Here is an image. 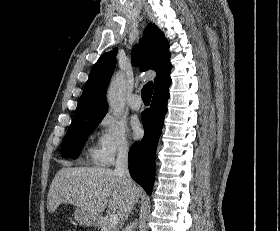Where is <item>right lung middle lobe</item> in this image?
<instances>
[{
    "label": "right lung middle lobe",
    "mask_w": 280,
    "mask_h": 231,
    "mask_svg": "<svg viewBox=\"0 0 280 231\" xmlns=\"http://www.w3.org/2000/svg\"><path fill=\"white\" fill-rule=\"evenodd\" d=\"M101 120L86 121L70 125L61 146L62 157L76 159L83 148L88 136Z\"/></svg>",
    "instance_id": "obj_1"
}]
</instances>
